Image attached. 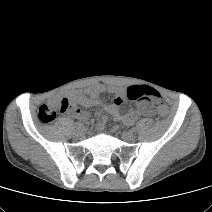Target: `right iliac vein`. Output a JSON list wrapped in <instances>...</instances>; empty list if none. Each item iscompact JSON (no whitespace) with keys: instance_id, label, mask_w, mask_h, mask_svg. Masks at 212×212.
Segmentation results:
<instances>
[{"instance_id":"obj_1","label":"right iliac vein","mask_w":212,"mask_h":212,"mask_svg":"<svg viewBox=\"0 0 212 212\" xmlns=\"http://www.w3.org/2000/svg\"><path fill=\"white\" fill-rule=\"evenodd\" d=\"M74 135H75L76 137L82 136V130H80V129L75 130V131H74Z\"/></svg>"}]
</instances>
